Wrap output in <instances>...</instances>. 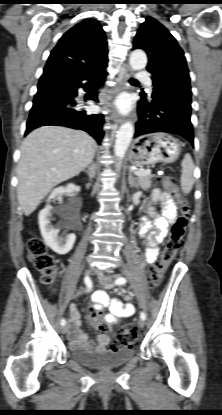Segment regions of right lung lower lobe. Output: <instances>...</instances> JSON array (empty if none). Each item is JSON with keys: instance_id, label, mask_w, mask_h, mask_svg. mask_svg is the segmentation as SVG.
<instances>
[{"instance_id": "98d812e1", "label": "right lung lower lobe", "mask_w": 222, "mask_h": 415, "mask_svg": "<svg viewBox=\"0 0 222 415\" xmlns=\"http://www.w3.org/2000/svg\"><path fill=\"white\" fill-rule=\"evenodd\" d=\"M106 68L98 71L77 74L58 68H44L38 83V91L33 100L25 135L33 129L57 125L88 132L100 143L103 138L102 115L88 114L75 101L78 88L87 86L94 89L90 99L98 102V92L107 76Z\"/></svg>"}]
</instances>
